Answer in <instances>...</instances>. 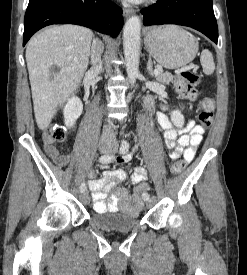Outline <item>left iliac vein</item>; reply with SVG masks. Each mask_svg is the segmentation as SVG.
Instances as JSON below:
<instances>
[{
    "mask_svg": "<svg viewBox=\"0 0 247 275\" xmlns=\"http://www.w3.org/2000/svg\"><path fill=\"white\" fill-rule=\"evenodd\" d=\"M146 201V206L147 207H152L155 203V199L154 198H151V199H148V200H145Z\"/></svg>",
    "mask_w": 247,
    "mask_h": 275,
    "instance_id": "obj_1",
    "label": "left iliac vein"
}]
</instances>
